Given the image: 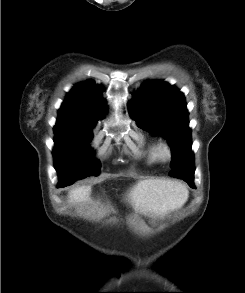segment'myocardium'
Here are the masks:
<instances>
[{
	"mask_svg": "<svg viewBox=\"0 0 245 293\" xmlns=\"http://www.w3.org/2000/svg\"><path fill=\"white\" fill-rule=\"evenodd\" d=\"M158 157L160 160L169 162L173 159V150L169 143H160L158 148Z\"/></svg>",
	"mask_w": 245,
	"mask_h": 293,
	"instance_id": "f54148a6",
	"label": "myocardium"
}]
</instances>
